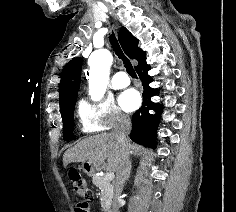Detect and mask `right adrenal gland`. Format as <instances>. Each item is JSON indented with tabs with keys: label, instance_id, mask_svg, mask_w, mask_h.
Wrapping results in <instances>:
<instances>
[{
	"label": "right adrenal gland",
	"instance_id": "2a0ac1e0",
	"mask_svg": "<svg viewBox=\"0 0 236 212\" xmlns=\"http://www.w3.org/2000/svg\"><path fill=\"white\" fill-rule=\"evenodd\" d=\"M130 171H131V165H130V169H129V175H130Z\"/></svg>",
	"mask_w": 236,
	"mask_h": 212
}]
</instances>
